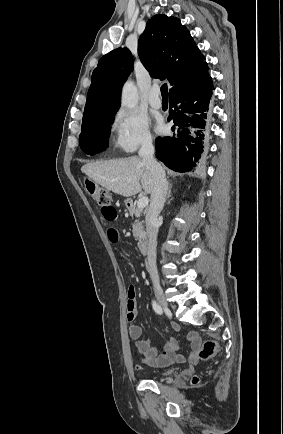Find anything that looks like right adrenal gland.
Returning a JSON list of instances; mask_svg holds the SVG:
<instances>
[{
	"instance_id": "right-adrenal-gland-1",
	"label": "right adrenal gland",
	"mask_w": 283,
	"mask_h": 434,
	"mask_svg": "<svg viewBox=\"0 0 283 434\" xmlns=\"http://www.w3.org/2000/svg\"><path fill=\"white\" fill-rule=\"evenodd\" d=\"M171 188H172V184L169 185L167 198H169L171 196Z\"/></svg>"
}]
</instances>
